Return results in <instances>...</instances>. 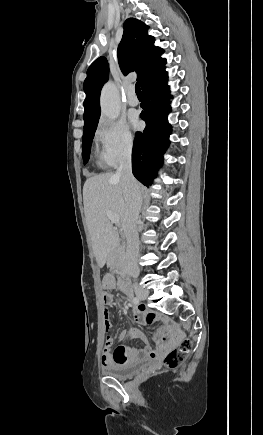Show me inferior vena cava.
<instances>
[{
  "label": "inferior vena cava",
  "mask_w": 263,
  "mask_h": 435,
  "mask_svg": "<svg viewBox=\"0 0 263 435\" xmlns=\"http://www.w3.org/2000/svg\"><path fill=\"white\" fill-rule=\"evenodd\" d=\"M116 174L121 178L125 193L126 210L129 223L126 228L125 266L130 275H137V256L139 252V235L137 222L142 205L139 185L132 174L131 150L127 151L120 160Z\"/></svg>",
  "instance_id": "inferior-vena-cava-1"
}]
</instances>
